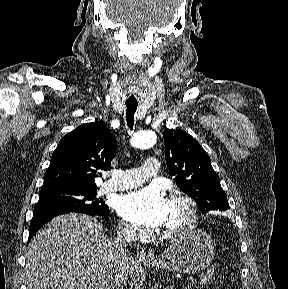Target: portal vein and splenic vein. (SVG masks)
Segmentation results:
<instances>
[{
    "label": "portal vein and splenic vein",
    "instance_id": "18ae733b",
    "mask_svg": "<svg viewBox=\"0 0 288 289\" xmlns=\"http://www.w3.org/2000/svg\"><path fill=\"white\" fill-rule=\"evenodd\" d=\"M196 283V279H192L188 282V284L186 285L185 289L190 288L192 285H194Z\"/></svg>",
    "mask_w": 288,
    "mask_h": 289
}]
</instances>
